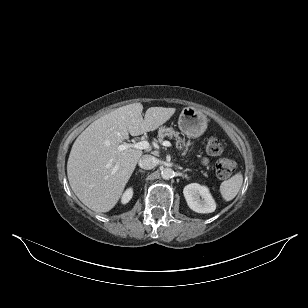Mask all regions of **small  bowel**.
<instances>
[{"instance_id": "obj_1", "label": "small bowel", "mask_w": 308, "mask_h": 308, "mask_svg": "<svg viewBox=\"0 0 308 308\" xmlns=\"http://www.w3.org/2000/svg\"><path fill=\"white\" fill-rule=\"evenodd\" d=\"M203 163H204V164H207V163H208V159H204V160H203Z\"/></svg>"}]
</instances>
